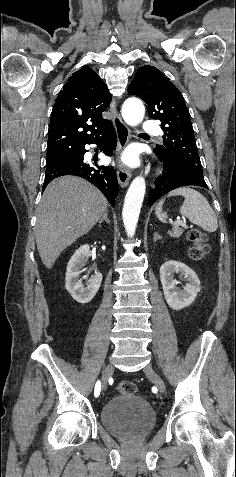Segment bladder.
<instances>
[{"label":"bladder","instance_id":"obj_1","mask_svg":"<svg viewBox=\"0 0 236 477\" xmlns=\"http://www.w3.org/2000/svg\"><path fill=\"white\" fill-rule=\"evenodd\" d=\"M104 428L116 437L143 439L154 429L157 416L152 406L136 394H118L101 407Z\"/></svg>","mask_w":236,"mask_h":477}]
</instances>
